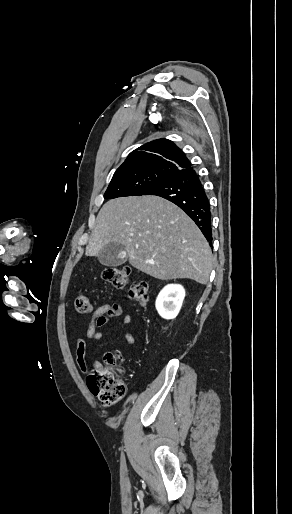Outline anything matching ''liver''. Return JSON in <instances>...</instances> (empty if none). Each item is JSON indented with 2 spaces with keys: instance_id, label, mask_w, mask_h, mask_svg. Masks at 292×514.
Wrapping results in <instances>:
<instances>
[{
  "instance_id": "6515ba94",
  "label": "liver",
  "mask_w": 292,
  "mask_h": 514,
  "mask_svg": "<svg viewBox=\"0 0 292 514\" xmlns=\"http://www.w3.org/2000/svg\"><path fill=\"white\" fill-rule=\"evenodd\" d=\"M109 242L124 246L129 264L158 280L189 278L208 284L213 256L193 220L159 196H129L102 206L85 256Z\"/></svg>"
}]
</instances>
